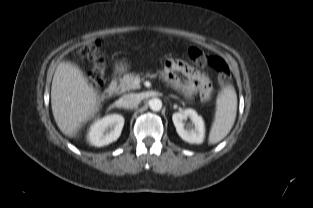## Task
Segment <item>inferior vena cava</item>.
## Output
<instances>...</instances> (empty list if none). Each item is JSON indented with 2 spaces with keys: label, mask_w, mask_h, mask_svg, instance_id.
<instances>
[{
  "label": "inferior vena cava",
  "mask_w": 313,
  "mask_h": 208,
  "mask_svg": "<svg viewBox=\"0 0 313 208\" xmlns=\"http://www.w3.org/2000/svg\"><path fill=\"white\" fill-rule=\"evenodd\" d=\"M119 102L123 108L132 109L140 103V98L137 94L130 93L122 96Z\"/></svg>",
  "instance_id": "602c4592"
}]
</instances>
